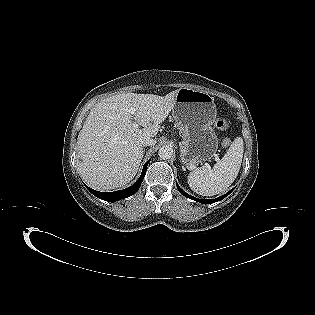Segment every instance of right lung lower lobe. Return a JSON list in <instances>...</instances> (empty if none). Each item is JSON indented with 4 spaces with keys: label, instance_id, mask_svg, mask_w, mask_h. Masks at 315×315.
Returning a JSON list of instances; mask_svg holds the SVG:
<instances>
[{
    "label": "right lung lower lobe",
    "instance_id": "1",
    "mask_svg": "<svg viewBox=\"0 0 315 315\" xmlns=\"http://www.w3.org/2000/svg\"><path fill=\"white\" fill-rule=\"evenodd\" d=\"M149 161L150 160H148L145 163V165L143 166L142 174L139 177V179L129 188H126L124 190L115 191V192H99V191H96V190L89 188L88 186H86V187L94 196L101 198L102 200H105L107 202H115V201H119L121 199L130 197L138 191V189H139V187L143 181V178L146 174V168H147Z\"/></svg>",
    "mask_w": 315,
    "mask_h": 315
}]
</instances>
